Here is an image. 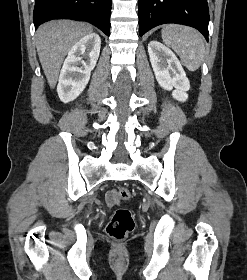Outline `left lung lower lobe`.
Here are the masks:
<instances>
[{"instance_id":"left-lung-lower-lobe-1","label":"left lung lower lobe","mask_w":247,"mask_h":280,"mask_svg":"<svg viewBox=\"0 0 247 280\" xmlns=\"http://www.w3.org/2000/svg\"><path fill=\"white\" fill-rule=\"evenodd\" d=\"M139 33L177 23L199 30L208 41L209 9L207 0H138Z\"/></svg>"}]
</instances>
